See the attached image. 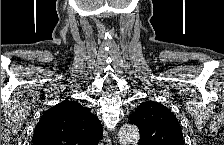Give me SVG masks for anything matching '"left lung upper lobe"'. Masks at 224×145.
<instances>
[{
	"label": "left lung upper lobe",
	"mask_w": 224,
	"mask_h": 145,
	"mask_svg": "<svg viewBox=\"0 0 224 145\" xmlns=\"http://www.w3.org/2000/svg\"><path fill=\"white\" fill-rule=\"evenodd\" d=\"M130 123L139 128V145H184L177 118L160 103L142 102L131 114Z\"/></svg>",
	"instance_id": "5c2ea615"
}]
</instances>
